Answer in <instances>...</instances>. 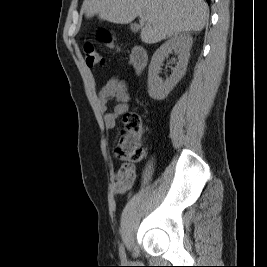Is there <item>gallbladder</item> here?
Wrapping results in <instances>:
<instances>
[{
    "label": "gallbladder",
    "instance_id": "gallbladder-1",
    "mask_svg": "<svg viewBox=\"0 0 267 267\" xmlns=\"http://www.w3.org/2000/svg\"><path fill=\"white\" fill-rule=\"evenodd\" d=\"M130 28L132 31H137L139 29V25L136 23H133L130 25Z\"/></svg>",
    "mask_w": 267,
    "mask_h": 267
}]
</instances>
